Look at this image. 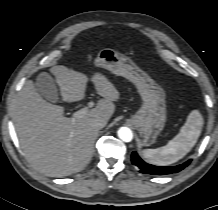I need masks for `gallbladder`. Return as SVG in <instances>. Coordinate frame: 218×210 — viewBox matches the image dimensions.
Returning <instances> with one entry per match:
<instances>
[{
	"mask_svg": "<svg viewBox=\"0 0 218 210\" xmlns=\"http://www.w3.org/2000/svg\"><path fill=\"white\" fill-rule=\"evenodd\" d=\"M37 92L51 102L59 100L58 89L54 78L47 72L40 73L35 82Z\"/></svg>",
	"mask_w": 218,
	"mask_h": 210,
	"instance_id": "1",
	"label": "gallbladder"
}]
</instances>
